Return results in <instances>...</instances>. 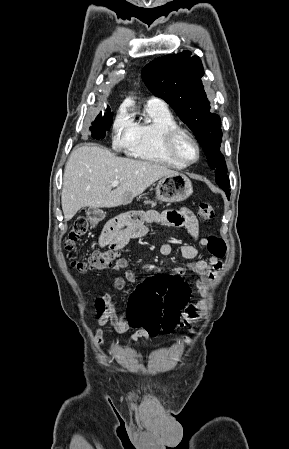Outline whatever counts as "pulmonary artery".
Here are the masks:
<instances>
[{"label": "pulmonary artery", "instance_id": "pulmonary-artery-1", "mask_svg": "<svg viewBox=\"0 0 289 449\" xmlns=\"http://www.w3.org/2000/svg\"><path fill=\"white\" fill-rule=\"evenodd\" d=\"M147 104L148 105H152V106H158V107H165L166 106V103L162 99L157 98V97L149 98L148 101H147Z\"/></svg>", "mask_w": 289, "mask_h": 449}]
</instances>
